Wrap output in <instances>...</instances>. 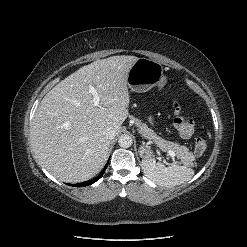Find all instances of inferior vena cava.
Segmentation results:
<instances>
[{
    "label": "inferior vena cava",
    "mask_w": 247,
    "mask_h": 247,
    "mask_svg": "<svg viewBox=\"0 0 247 247\" xmlns=\"http://www.w3.org/2000/svg\"><path fill=\"white\" fill-rule=\"evenodd\" d=\"M104 135L108 140H112L116 136V131L114 130V128L108 127L107 129H105Z\"/></svg>",
    "instance_id": "inferior-vena-cava-1"
}]
</instances>
